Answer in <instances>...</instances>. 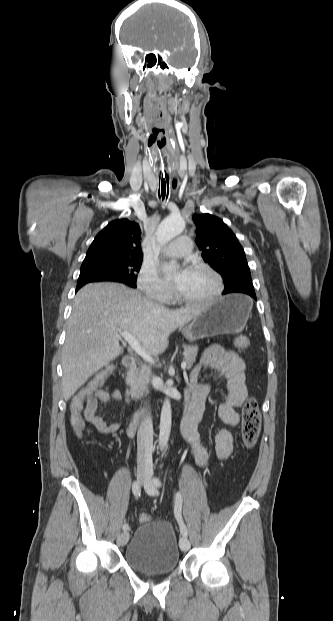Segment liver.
I'll list each match as a JSON object with an SVG mask.
<instances>
[{
  "mask_svg": "<svg viewBox=\"0 0 333 621\" xmlns=\"http://www.w3.org/2000/svg\"><path fill=\"white\" fill-rule=\"evenodd\" d=\"M205 305L170 310L118 283H91L73 302L62 350L63 397L67 401L98 370L121 353L119 333H132L143 349L161 354L177 328L196 318Z\"/></svg>",
  "mask_w": 333,
  "mask_h": 621,
  "instance_id": "6515ba94",
  "label": "liver"
}]
</instances>
